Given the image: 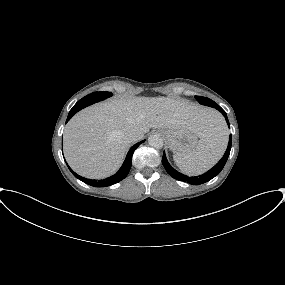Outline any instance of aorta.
Wrapping results in <instances>:
<instances>
[{"mask_svg":"<svg viewBox=\"0 0 285 285\" xmlns=\"http://www.w3.org/2000/svg\"><path fill=\"white\" fill-rule=\"evenodd\" d=\"M148 143L151 147L160 149L163 147V139L158 134H152L148 138Z\"/></svg>","mask_w":285,"mask_h":285,"instance_id":"762f6f07","label":"aorta"}]
</instances>
